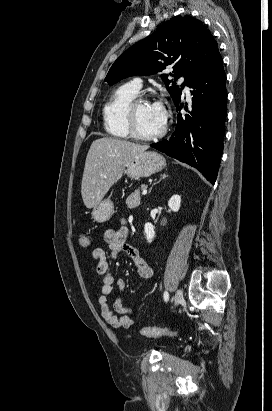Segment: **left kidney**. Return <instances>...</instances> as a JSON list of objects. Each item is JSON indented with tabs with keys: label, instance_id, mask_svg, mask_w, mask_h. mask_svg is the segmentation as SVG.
Masks as SVG:
<instances>
[{
	"label": "left kidney",
	"instance_id": "5707ae66",
	"mask_svg": "<svg viewBox=\"0 0 272 411\" xmlns=\"http://www.w3.org/2000/svg\"><path fill=\"white\" fill-rule=\"evenodd\" d=\"M168 206L173 212H178L181 206V197L179 195H173L169 201ZM155 227L147 222L144 226V234L149 243H151L155 237Z\"/></svg>",
	"mask_w": 272,
	"mask_h": 411
}]
</instances>
